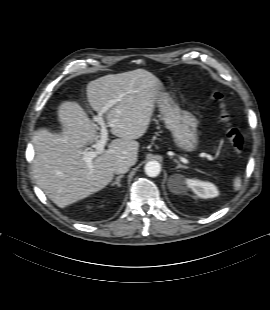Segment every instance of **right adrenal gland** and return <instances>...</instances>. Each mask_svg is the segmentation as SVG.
<instances>
[{
	"label": "right adrenal gland",
	"instance_id": "right-adrenal-gland-1",
	"mask_svg": "<svg viewBox=\"0 0 270 310\" xmlns=\"http://www.w3.org/2000/svg\"><path fill=\"white\" fill-rule=\"evenodd\" d=\"M123 177H124V175H119V176H117L116 179H115V181L112 182L110 185H111V186L117 185V186L120 188V187H121L120 180H121V178H123Z\"/></svg>",
	"mask_w": 270,
	"mask_h": 310
}]
</instances>
